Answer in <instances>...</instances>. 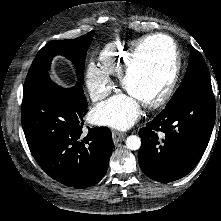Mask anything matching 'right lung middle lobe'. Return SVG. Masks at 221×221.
<instances>
[{
  "label": "right lung middle lobe",
  "instance_id": "right-lung-middle-lobe-1",
  "mask_svg": "<svg viewBox=\"0 0 221 221\" xmlns=\"http://www.w3.org/2000/svg\"><path fill=\"white\" fill-rule=\"evenodd\" d=\"M93 36L94 31H91L76 39L51 41L46 44L38 52L29 69L23 91L32 88L40 78L48 76L47 71L55 55H63L75 64L77 76L81 83L83 80L86 53Z\"/></svg>",
  "mask_w": 221,
  "mask_h": 221
}]
</instances>
